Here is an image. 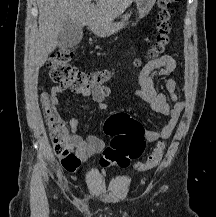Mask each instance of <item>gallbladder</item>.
Instances as JSON below:
<instances>
[{
  "instance_id": "1",
  "label": "gallbladder",
  "mask_w": 216,
  "mask_h": 217,
  "mask_svg": "<svg viewBox=\"0 0 216 217\" xmlns=\"http://www.w3.org/2000/svg\"><path fill=\"white\" fill-rule=\"evenodd\" d=\"M82 37V27L69 20L59 32L57 47L60 49L72 48L80 43Z\"/></svg>"
}]
</instances>
